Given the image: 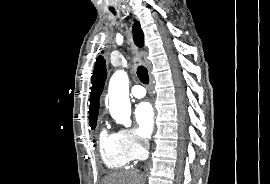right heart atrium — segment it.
Returning <instances> with one entry per match:
<instances>
[{
	"mask_svg": "<svg viewBox=\"0 0 270 184\" xmlns=\"http://www.w3.org/2000/svg\"><path fill=\"white\" fill-rule=\"evenodd\" d=\"M117 134L123 148L132 160L140 159L144 156L146 142L137 131L131 128H121Z\"/></svg>",
	"mask_w": 270,
	"mask_h": 184,
	"instance_id": "1",
	"label": "right heart atrium"
}]
</instances>
